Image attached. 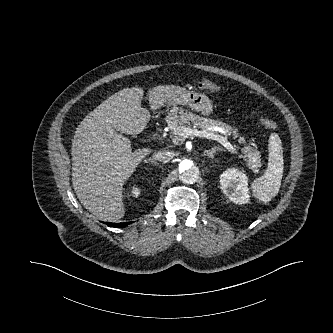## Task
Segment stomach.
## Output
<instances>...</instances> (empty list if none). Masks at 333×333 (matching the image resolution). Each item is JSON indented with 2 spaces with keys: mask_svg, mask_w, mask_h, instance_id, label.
Returning a JSON list of instances; mask_svg holds the SVG:
<instances>
[{
  "mask_svg": "<svg viewBox=\"0 0 333 333\" xmlns=\"http://www.w3.org/2000/svg\"><path fill=\"white\" fill-rule=\"evenodd\" d=\"M164 105H183L203 115H209L213 108L211 100L205 94L194 91H184L178 97L167 100Z\"/></svg>",
  "mask_w": 333,
  "mask_h": 333,
  "instance_id": "obj_1",
  "label": "stomach"
}]
</instances>
